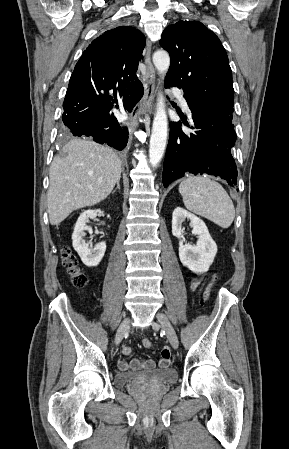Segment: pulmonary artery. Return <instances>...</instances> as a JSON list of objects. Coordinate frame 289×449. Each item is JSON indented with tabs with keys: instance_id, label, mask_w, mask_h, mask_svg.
Instances as JSON below:
<instances>
[{
	"instance_id": "e3ab8cb5",
	"label": "pulmonary artery",
	"mask_w": 289,
	"mask_h": 449,
	"mask_svg": "<svg viewBox=\"0 0 289 449\" xmlns=\"http://www.w3.org/2000/svg\"><path fill=\"white\" fill-rule=\"evenodd\" d=\"M174 93H175L176 97L178 98V101H179L180 105L182 106L183 110L186 112H189V107H188L187 101L184 98L182 92L179 90H176V91H174Z\"/></svg>"
}]
</instances>
